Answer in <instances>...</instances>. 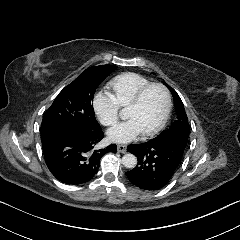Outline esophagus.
Masks as SVG:
<instances>
[{"mask_svg":"<svg viewBox=\"0 0 240 240\" xmlns=\"http://www.w3.org/2000/svg\"><path fill=\"white\" fill-rule=\"evenodd\" d=\"M117 151L120 152V153H126L127 145L126 144H118L117 145Z\"/></svg>","mask_w":240,"mask_h":240,"instance_id":"34e87169","label":"esophagus"}]
</instances>
